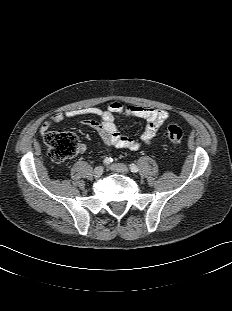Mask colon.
<instances>
[{
  "instance_id": "obj_1",
  "label": "colon",
  "mask_w": 232,
  "mask_h": 311,
  "mask_svg": "<svg viewBox=\"0 0 232 311\" xmlns=\"http://www.w3.org/2000/svg\"><path fill=\"white\" fill-rule=\"evenodd\" d=\"M168 138L172 143H179L183 138V131L178 125L168 128ZM50 158L54 163H63L73 157L78 150L77 137L69 132L51 131L45 135Z\"/></svg>"
}]
</instances>
